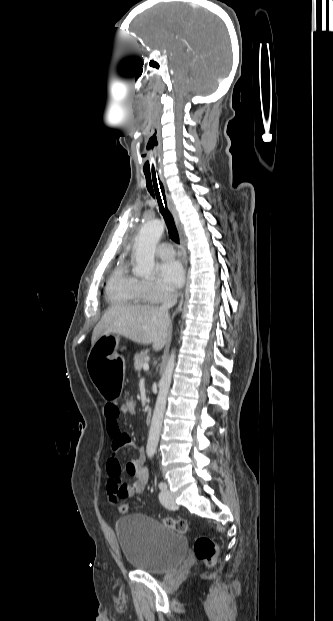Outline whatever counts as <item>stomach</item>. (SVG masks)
Wrapping results in <instances>:
<instances>
[{
	"label": "stomach",
	"mask_w": 333,
	"mask_h": 621,
	"mask_svg": "<svg viewBox=\"0 0 333 621\" xmlns=\"http://www.w3.org/2000/svg\"><path fill=\"white\" fill-rule=\"evenodd\" d=\"M118 340L113 334L100 336L86 358L97 393L103 398L114 397L117 402L125 389L123 370L126 366L124 347Z\"/></svg>",
	"instance_id": "0dacf381"
}]
</instances>
